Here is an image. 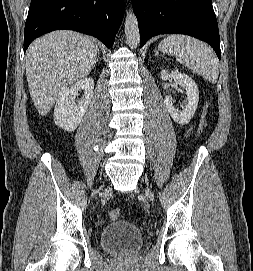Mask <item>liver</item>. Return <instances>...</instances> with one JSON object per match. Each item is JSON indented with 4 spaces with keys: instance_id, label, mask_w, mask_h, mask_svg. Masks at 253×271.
I'll list each match as a JSON object with an SVG mask.
<instances>
[{
    "instance_id": "liver-1",
    "label": "liver",
    "mask_w": 253,
    "mask_h": 271,
    "mask_svg": "<svg viewBox=\"0 0 253 271\" xmlns=\"http://www.w3.org/2000/svg\"><path fill=\"white\" fill-rule=\"evenodd\" d=\"M98 51L87 36L74 31H54L33 41L25 67L29 93L40 115H47L68 86L90 73Z\"/></svg>"
}]
</instances>
